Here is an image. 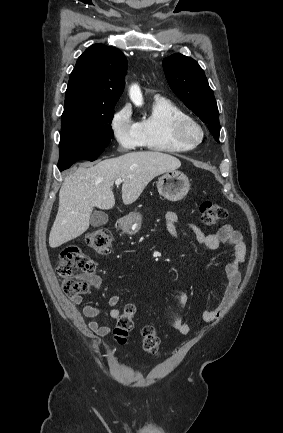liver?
Instances as JSON below:
<instances>
[{
    "mask_svg": "<svg viewBox=\"0 0 283 433\" xmlns=\"http://www.w3.org/2000/svg\"><path fill=\"white\" fill-rule=\"evenodd\" d=\"M93 164L82 162L62 182L57 217L49 235L52 249L80 237L89 229L94 206L113 208L115 196L111 186L116 178H123L124 204H132L154 176L181 166L179 158L157 150L127 152Z\"/></svg>",
    "mask_w": 283,
    "mask_h": 433,
    "instance_id": "obj_1",
    "label": "liver"
}]
</instances>
